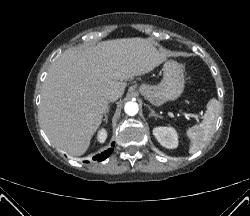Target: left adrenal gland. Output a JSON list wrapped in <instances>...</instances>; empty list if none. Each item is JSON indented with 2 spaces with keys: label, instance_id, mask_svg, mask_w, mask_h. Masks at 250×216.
<instances>
[{
  "label": "left adrenal gland",
  "instance_id": "obj_1",
  "mask_svg": "<svg viewBox=\"0 0 250 216\" xmlns=\"http://www.w3.org/2000/svg\"><path fill=\"white\" fill-rule=\"evenodd\" d=\"M150 110V117H156V118H162V116L156 114L152 108H149Z\"/></svg>",
  "mask_w": 250,
  "mask_h": 216
}]
</instances>
